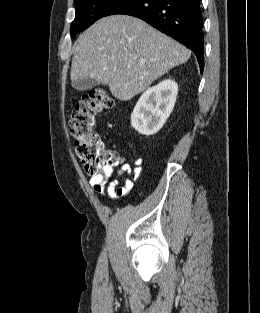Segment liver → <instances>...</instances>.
Returning a JSON list of instances; mask_svg holds the SVG:
<instances>
[{"instance_id": "obj_1", "label": "liver", "mask_w": 260, "mask_h": 313, "mask_svg": "<svg viewBox=\"0 0 260 313\" xmlns=\"http://www.w3.org/2000/svg\"><path fill=\"white\" fill-rule=\"evenodd\" d=\"M191 51L141 19L104 17L78 39L70 79H96L112 95L128 101L173 67L189 60Z\"/></svg>"}]
</instances>
